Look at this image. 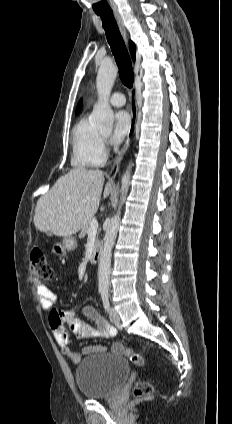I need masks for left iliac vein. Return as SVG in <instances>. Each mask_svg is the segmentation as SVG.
Wrapping results in <instances>:
<instances>
[{
    "mask_svg": "<svg viewBox=\"0 0 232 424\" xmlns=\"http://www.w3.org/2000/svg\"><path fill=\"white\" fill-rule=\"evenodd\" d=\"M109 317L114 324L118 325L120 323V316L118 312L116 311V309L114 308L109 309Z\"/></svg>",
    "mask_w": 232,
    "mask_h": 424,
    "instance_id": "obj_1",
    "label": "left iliac vein"
}]
</instances>
